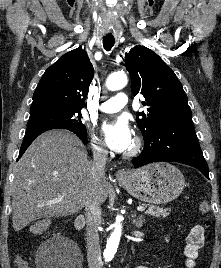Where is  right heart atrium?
<instances>
[{
    "instance_id": "right-heart-atrium-1",
    "label": "right heart atrium",
    "mask_w": 221,
    "mask_h": 268,
    "mask_svg": "<svg viewBox=\"0 0 221 268\" xmlns=\"http://www.w3.org/2000/svg\"><path fill=\"white\" fill-rule=\"evenodd\" d=\"M90 141L92 150L96 155L104 156L106 154L104 146L93 132L90 133Z\"/></svg>"
}]
</instances>
